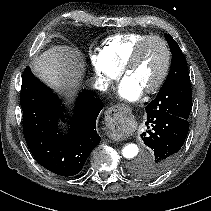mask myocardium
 <instances>
[{"label":"myocardium","instance_id":"f54148a6","mask_svg":"<svg viewBox=\"0 0 211 211\" xmlns=\"http://www.w3.org/2000/svg\"><path fill=\"white\" fill-rule=\"evenodd\" d=\"M150 41H158L162 45V47L164 49V53H165V62H164V67L161 72V75L159 76L156 83L145 91L146 94L156 93L163 86V84L165 83V81L169 75L170 68H171L172 55H171V50H170V47H169L167 41L159 35L145 36L142 40H140L136 44V46L134 47L132 53L130 54L129 58L127 59L125 65L123 67V72L126 75L127 72L129 71V69L132 66H134L135 63L138 61L141 51L143 50L145 45L147 43H149Z\"/></svg>","mask_w":211,"mask_h":211}]
</instances>
